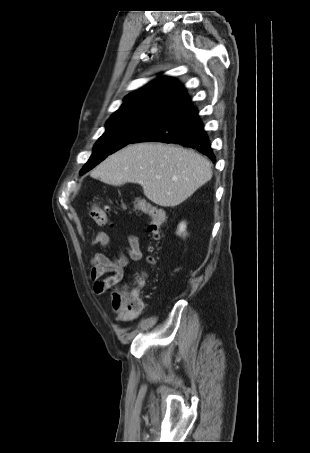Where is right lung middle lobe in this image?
Masks as SVG:
<instances>
[{
	"label": "right lung middle lobe",
	"mask_w": 310,
	"mask_h": 453,
	"mask_svg": "<svg viewBox=\"0 0 310 453\" xmlns=\"http://www.w3.org/2000/svg\"><path fill=\"white\" fill-rule=\"evenodd\" d=\"M158 117L112 116L106 124L105 133L96 142L93 153L80 174L92 169L108 155L133 142Z\"/></svg>",
	"instance_id": "right-lung-middle-lobe-1"
}]
</instances>
